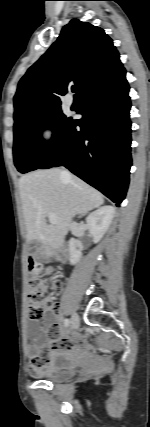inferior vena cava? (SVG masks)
Wrapping results in <instances>:
<instances>
[{
  "label": "inferior vena cava",
  "mask_w": 150,
  "mask_h": 427,
  "mask_svg": "<svg viewBox=\"0 0 150 427\" xmlns=\"http://www.w3.org/2000/svg\"><path fill=\"white\" fill-rule=\"evenodd\" d=\"M61 175L63 177H69L70 173L67 170H62Z\"/></svg>",
  "instance_id": "obj_1"
}]
</instances>
